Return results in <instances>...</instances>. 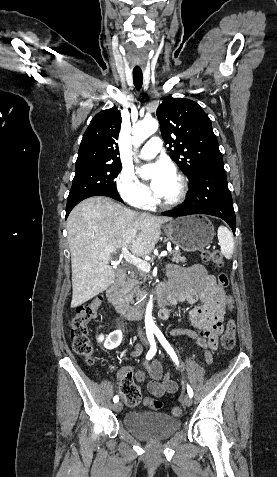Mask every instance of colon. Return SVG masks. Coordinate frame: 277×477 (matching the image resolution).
Wrapping results in <instances>:
<instances>
[{
  "instance_id": "1",
  "label": "colon",
  "mask_w": 277,
  "mask_h": 477,
  "mask_svg": "<svg viewBox=\"0 0 277 477\" xmlns=\"http://www.w3.org/2000/svg\"><path fill=\"white\" fill-rule=\"evenodd\" d=\"M201 259L206 263H211L217 268H220L224 264L223 256L219 251L205 249L201 253ZM219 283L226 287L229 283L226 274L221 273L218 275ZM102 302V297L97 296L90 302H86L76 308V315L72 320L70 335L72 338L73 350L83 356L89 364L94 362V348L88 336V324L96 318L97 310ZM236 297L229 293L225 300L224 310L226 312H233L235 310ZM236 342V326L233 319H230L227 323L226 330L221 338V345L226 350L234 348ZM121 394L125 399V402L131 406H138L141 401L140 389L131 380H126L121 384ZM149 407L153 410H159L162 408V402L157 399H150L148 403ZM182 413L181 408L174 407L171 410L173 416H180Z\"/></svg>"
}]
</instances>
